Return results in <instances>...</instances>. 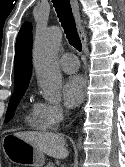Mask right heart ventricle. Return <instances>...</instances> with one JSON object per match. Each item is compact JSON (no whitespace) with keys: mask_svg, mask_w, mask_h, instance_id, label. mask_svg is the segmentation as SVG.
Here are the masks:
<instances>
[{"mask_svg":"<svg viewBox=\"0 0 125 167\" xmlns=\"http://www.w3.org/2000/svg\"><path fill=\"white\" fill-rule=\"evenodd\" d=\"M25 120L31 128L37 130H48L51 128L43 118L39 104H35L29 108Z\"/></svg>","mask_w":125,"mask_h":167,"instance_id":"e07e8e85","label":"right heart ventricle"}]
</instances>
